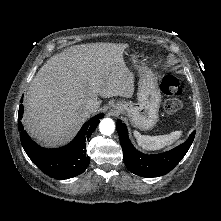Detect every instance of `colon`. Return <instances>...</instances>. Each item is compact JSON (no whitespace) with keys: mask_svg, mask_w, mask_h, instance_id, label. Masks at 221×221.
<instances>
[{"mask_svg":"<svg viewBox=\"0 0 221 221\" xmlns=\"http://www.w3.org/2000/svg\"><path fill=\"white\" fill-rule=\"evenodd\" d=\"M162 92L168 96L164 103V109L167 113H175L180 110L182 104L178 98L182 92L179 80L172 75H167L161 82Z\"/></svg>","mask_w":221,"mask_h":221,"instance_id":"colon-1","label":"colon"}]
</instances>
